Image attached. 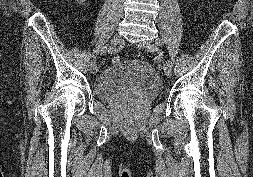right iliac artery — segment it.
<instances>
[{
	"mask_svg": "<svg viewBox=\"0 0 253 177\" xmlns=\"http://www.w3.org/2000/svg\"><path fill=\"white\" fill-rule=\"evenodd\" d=\"M118 51V48L112 47V46H104L100 50H96L95 53L91 54V60L94 61V63L91 64L92 68L96 67L97 60L100 57V54H105V53H115Z\"/></svg>",
	"mask_w": 253,
	"mask_h": 177,
	"instance_id": "right-iliac-artery-1",
	"label": "right iliac artery"
}]
</instances>
